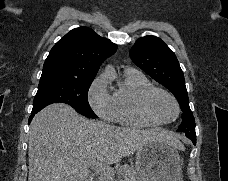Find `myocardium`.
Masks as SVG:
<instances>
[{
    "label": "myocardium",
    "instance_id": "1",
    "mask_svg": "<svg viewBox=\"0 0 228 181\" xmlns=\"http://www.w3.org/2000/svg\"><path fill=\"white\" fill-rule=\"evenodd\" d=\"M154 92H159L163 95H165L172 103V106L174 108V113L177 114L178 113V105L175 101V99L173 98L172 95H170L167 91L163 90V89H159V88H155V87H151L147 90H145L141 96H140V100L138 103V111L140 113V115L147 121L152 122V123H157V124H164L167 122H170L171 119L168 120H157L155 119L148 107V99L149 97L154 93Z\"/></svg>",
    "mask_w": 228,
    "mask_h": 181
}]
</instances>
